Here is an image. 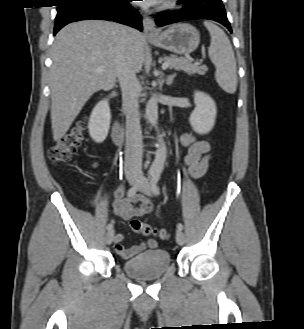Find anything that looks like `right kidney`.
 I'll use <instances>...</instances> for the list:
<instances>
[{
  "label": "right kidney",
  "instance_id": "obj_1",
  "mask_svg": "<svg viewBox=\"0 0 304 329\" xmlns=\"http://www.w3.org/2000/svg\"><path fill=\"white\" fill-rule=\"evenodd\" d=\"M115 95V93H112L111 97ZM110 118L108 100L99 101L92 110L88 124L89 134L95 142L101 143L106 139L109 131Z\"/></svg>",
  "mask_w": 304,
  "mask_h": 329
}]
</instances>
